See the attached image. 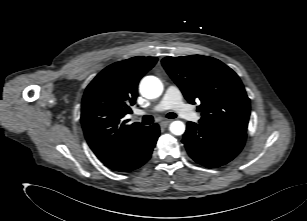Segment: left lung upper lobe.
I'll list each match as a JSON object with an SVG mask.
<instances>
[{"label": "left lung upper lobe", "instance_id": "obj_1", "mask_svg": "<svg viewBox=\"0 0 307 221\" xmlns=\"http://www.w3.org/2000/svg\"><path fill=\"white\" fill-rule=\"evenodd\" d=\"M162 65L187 101L202 111L199 123L246 132L250 99L238 75L221 61L201 55L166 57Z\"/></svg>", "mask_w": 307, "mask_h": 221}]
</instances>
